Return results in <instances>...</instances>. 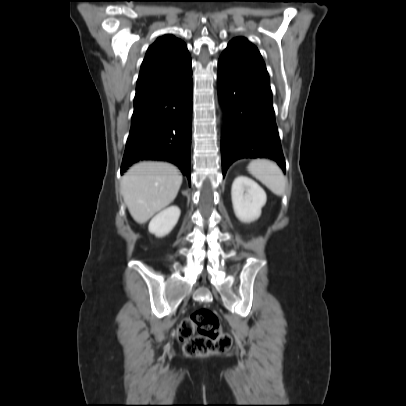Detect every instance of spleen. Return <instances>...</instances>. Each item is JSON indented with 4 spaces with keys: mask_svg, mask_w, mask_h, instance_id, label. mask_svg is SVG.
Listing matches in <instances>:
<instances>
[{
    "mask_svg": "<svg viewBox=\"0 0 406 406\" xmlns=\"http://www.w3.org/2000/svg\"><path fill=\"white\" fill-rule=\"evenodd\" d=\"M248 171L274 194L281 196L284 193L286 178L276 163L266 159L253 160Z\"/></svg>",
    "mask_w": 406,
    "mask_h": 406,
    "instance_id": "spleen-1",
    "label": "spleen"
}]
</instances>
